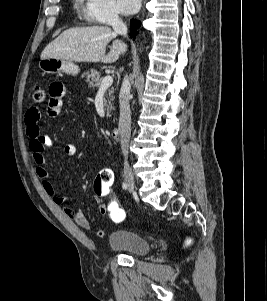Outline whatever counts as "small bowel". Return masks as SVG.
I'll return each mask as SVG.
<instances>
[{
	"label": "small bowel",
	"mask_w": 267,
	"mask_h": 301,
	"mask_svg": "<svg viewBox=\"0 0 267 301\" xmlns=\"http://www.w3.org/2000/svg\"><path fill=\"white\" fill-rule=\"evenodd\" d=\"M49 101H48V113L50 116H58L62 110L64 99L67 95L66 86L64 83L56 81L50 85L49 88ZM41 118V111L37 106H31L24 118V124L26 129V135L29 139V148L32 153V160L35 165V173L41 181V184L45 192L53 199L57 205H65L67 198L58 194L55 186L49 179V175L43 167L45 163V157L43 151L46 147H51L52 141L48 136L41 133L39 127V120ZM63 152L66 156H74L76 154V146L68 143L64 146ZM93 200L99 205L101 214L105 215V209L97 198L93 196ZM64 213L72 218L74 222L83 230L90 231L91 225L81 210H74L72 207L65 205ZM96 236L103 238L105 231L102 229L96 230Z\"/></svg>",
	"instance_id": "c3829d8e"
}]
</instances>
